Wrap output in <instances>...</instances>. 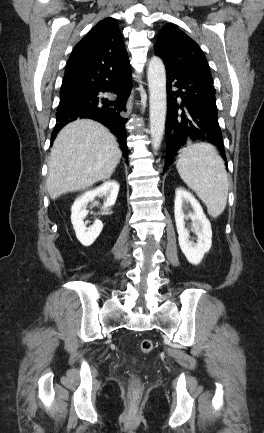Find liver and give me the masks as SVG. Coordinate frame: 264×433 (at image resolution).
<instances>
[{
  "mask_svg": "<svg viewBox=\"0 0 264 433\" xmlns=\"http://www.w3.org/2000/svg\"><path fill=\"white\" fill-rule=\"evenodd\" d=\"M122 152L109 130L89 119L66 125L51 148L47 189L52 200L109 179Z\"/></svg>",
  "mask_w": 264,
  "mask_h": 433,
  "instance_id": "obj_1",
  "label": "liver"
}]
</instances>
